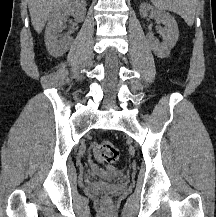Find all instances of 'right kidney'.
Wrapping results in <instances>:
<instances>
[{"instance_id":"1","label":"right kidney","mask_w":216,"mask_h":217,"mask_svg":"<svg viewBox=\"0 0 216 217\" xmlns=\"http://www.w3.org/2000/svg\"><path fill=\"white\" fill-rule=\"evenodd\" d=\"M69 15L73 16L76 22H82L86 15L85 1H68L50 15L45 30V44L54 57L62 56L71 46L72 38L68 34L58 39L59 33L63 30V21Z\"/></svg>"}]
</instances>
